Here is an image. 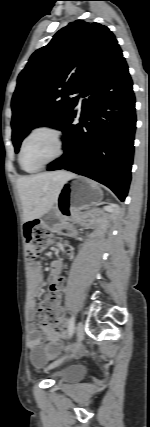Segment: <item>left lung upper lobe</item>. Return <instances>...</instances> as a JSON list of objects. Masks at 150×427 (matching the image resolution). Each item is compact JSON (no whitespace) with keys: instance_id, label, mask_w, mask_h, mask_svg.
<instances>
[{"instance_id":"obj_1","label":"left lung upper lobe","mask_w":150,"mask_h":427,"mask_svg":"<svg viewBox=\"0 0 150 427\" xmlns=\"http://www.w3.org/2000/svg\"><path fill=\"white\" fill-rule=\"evenodd\" d=\"M118 47L114 34L106 26L76 20L32 54L18 76L11 102L15 152L31 129L63 127L78 100L70 95L80 92Z\"/></svg>"}]
</instances>
